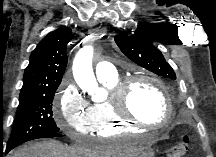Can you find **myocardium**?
<instances>
[{"mask_svg":"<svg viewBox=\"0 0 216 157\" xmlns=\"http://www.w3.org/2000/svg\"><path fill=\"white\" fill-rule=\"evenodd\" d=\"M139 81H148L155 85L161 92L166 107V116L161 123H151L143 121L137 118L129 106V98L132 86ZM111 100L114 106V111L116 116L129 123L130 125L141 127V128H163L166 127L172 119L173 109L170 94L167 87L155 77L147 74H135L132 76H127L121 81H119L112 90Z\"/></svg>","mask_w":216,"mask_h":157,"instance_id":"f54148a6","label":"myocardium"}]
</instances>
